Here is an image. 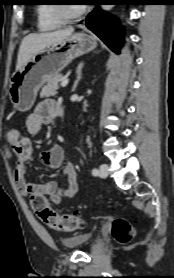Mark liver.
Instances as JSON below:
<instances>
[{
    "mask_svg": "<svg viewBox=\"0 0 174 278\" xmlns=\"http://www.w3.org/2000/svg\"><path fill=\"white\" fill-rule=\"evenodd\" d=\"M73 32V27H67L52 32L31 33L24 37L19 47L16 71L27 63L37 52L72 35Z\"/></svg>",
    "mask_w": 174,
    "mask_h": 278,
    "instance_id": "6515ba94",
    "label": "liver"
}]
</instances>
